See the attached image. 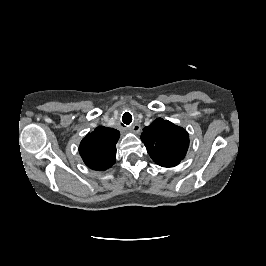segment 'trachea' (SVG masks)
Listing matches in <instances>:
<instances>
[{"label":"trachea","instance_id":"trachea-1","mask_svg":"<svg viewBox=\"0 0 266 266\" xmlns=\"http://www.w3.org/2000/svg\"><path fill=\"white\" fill-rule=\"evenodd\" d=\"M124 124L129 125L132 122V115L129 112H125L122 116Z\"/></svg>","mask_w":266,"mask_h":266}]
</instances>
